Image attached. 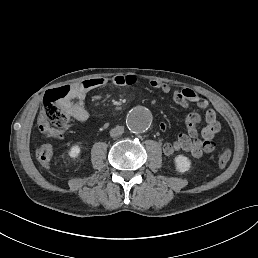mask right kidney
<instances>
[{
    "mask_svg": "<svg viewBox=\"0 0 258 258\" xmlns=\"http://www.w3.org/2000/svg\"><path fill=\"white\" fill-rule=\"evenodd\" d=\"M78 153H79V148L78 147H74V148H72V150L70 152V156L71 157H76Z\"/></svg>",
    "mask_w": 258,
    "mask_h": 258,
    "instance_id": "1",
    "label": "right kidney"
}]
</instances>
